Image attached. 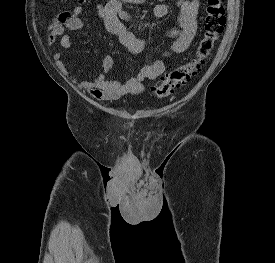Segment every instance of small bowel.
I'll list each match as a JSON object with an SVG mask.
<instances>
[{
  "label": "small bowel",
  "instance_id": "c3829d8e",
  "mask_svg": "<svg viewBox=\"0 0 275 263\" xmlns=\"http://www.w3.org/2000/svg\"><path fill=\"white\" fill-rule=\"evenodd\" d=\"M145 0H109L98 4L96 11L103 27L116 36L120 43L132 54H140L147 45L146 37H138L129 31L124 21L130 20V15L125 11V5L143 3ZM179 10L177 24L166 32L169 45L163 50L159 59L143 65L135 76L126 81H117L107 78L108 72L114 65L111 55H106L102 60L103 71L91 80H80L72 75L66 67L67 58L62 52H56L53 60L58 70L73 84L87 91L93 98L99 101H114L128 94H139L144 91V83L161 76L171 63L173 55L185 52L190 46L196 31L200 0H176ZM84 7L78 5L72 9L64 10L53 20L48 35V46L52 47L59 40L63 49H70L73 43L69 31L81 30L85 23L81 19ZM169 8L164 2L158 3L153 16L156 19L168 15ZM76 73L82 74L80 68Z\"/></svg>",
  "mask_w": 275,
  "mask_h": 263
}]
</instances>
